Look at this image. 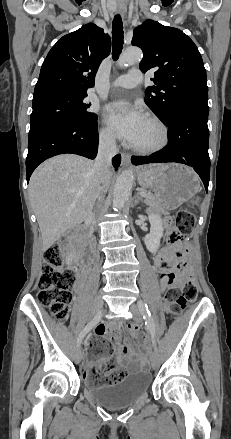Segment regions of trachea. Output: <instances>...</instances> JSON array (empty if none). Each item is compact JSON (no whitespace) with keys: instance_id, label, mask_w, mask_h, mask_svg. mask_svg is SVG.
<instances>
[{"instance_id":"3493384b","label":"trachea","mask_w":231,"mask_h":439,"mask_svg":"<svg viewBox=\"0 0 231 439\" xmlns=\"http://www.w3.org/2000/svg\"><path fill=\"white\" fill-rule=\"evenodd\" d=\"M123 23L120 15H115L112 24V57L116 61L123 49Z\"/></svg>"}]
</instances>
